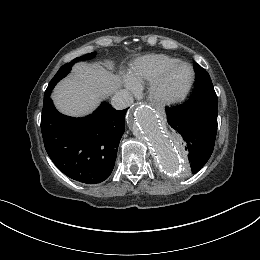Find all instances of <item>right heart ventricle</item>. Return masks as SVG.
Masks as SVG:
<instances>
[{"mask_svg": "<svg viewBox=\"0 0 260 260\" xmlns=\"http://www.w3.org/2000/svg\"><path fill=\"white\" fill-rule=\"evenodd\" d=\"M179 61L178 58L165 54H148L139 57L127 71L128 80L134 85L152 81L165 68Z\"/></svg>", "mask_w": 260, "mask_h": 260, "instance_id": "right-heart-ventricle-1", "label": "right heart ventricle"}]
</instances>
